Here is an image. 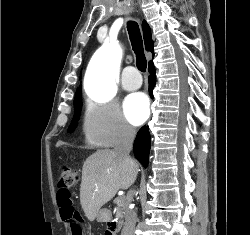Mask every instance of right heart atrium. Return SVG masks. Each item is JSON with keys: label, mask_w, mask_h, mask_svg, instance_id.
I'll return each mask as SVG.
<instances>
[{"label": "right heart atrium", "mask_w": 250, "mask_h": 235, "mask_svg": "<svg viewBox=\"0 0 250 235\" xmlns=\"http://www.w3.org/2000/svg\"><path fill=\"white\" fill-rule=\"evenodd\" d=\"M82 132L89 144L102 147L129 143L136 134L118 105L113 102L96 101L86 103Z\"/></svg>", "instance_id": "right-heart-atrium-1"}]
</instances>
